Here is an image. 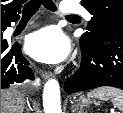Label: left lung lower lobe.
I'll return each instance as SVG.
<instances>
[{"label": "left lung lower lobe", "mask_w": 123, "mask_h": 113, "mask_svg": "<svg viewBox=\"0 0 123 113\" xmlns=\"http://www.w3.org/2000/svg\"><path fill=\"white\" fill-rule=\"evenodd\" d=\"M81 67L65 81L66 93H74L101 86L123 89V26L106 19L98 38L80 40Z\"/></svg>", "instance_id": "0a47b994"}]
</instances>
